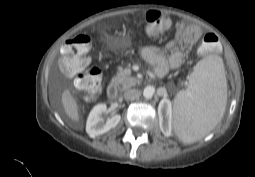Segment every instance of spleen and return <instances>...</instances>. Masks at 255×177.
<instances>
[{"mask_svg": "<svg viewBox=\"0 0 255 177\" xmlns=\"http://www.w3.org/2000/svg\"><path fill=\"white\" fill-rule=\"evenodd\" d=\"M226 102L223 60L209 55L194 67L188 89L175 97L173 127L176 135L187 144L205 137L222 119Z\"/></svg>", "mask_w": 255, "mask_h": 177, "instance_id": "obj_1", "label": "spleen"}]
</instances>
